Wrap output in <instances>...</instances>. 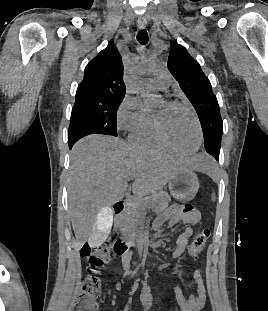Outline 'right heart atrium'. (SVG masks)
<instances>
[{
	"mask_svg": "<svg viewBox=\"0 0 268 311\" xmlns=\"http://www.w3.org/2000/svg\"><path fill=\"white\" fill-rule=\"evenodd\" d=\"M149 119L141 101L137 97L128 96L121 103L117 113V126L121 131L133 132Z\"/></svg>",
	"mask_w": 268,
	"mask_h": 311,
	"instance_id": "1",
	"label": "right heart atrium"
}]
</instances>
